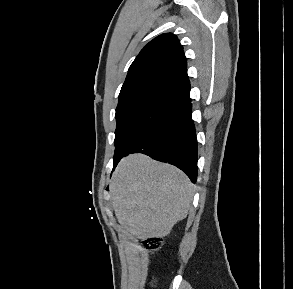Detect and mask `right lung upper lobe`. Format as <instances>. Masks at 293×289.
<instances>
[{
    "instance_id": "1",
    "label": "right lung upper lobe",
    "mask_w": 293,
    "mask_h": 289,
    "mask_svg": "<svg viewBox=\"0 0 293 289\" xmlns=\"http://www.w3.org/2000/svg\"><path fill=\"white\" fill-rule=\"evenodd\" d=\"M186 57L176 35L164 33L150 41L131 64L119 103L140 97L159 98L177 107L190 102Z\"/></svg>"
}]
</instances>
